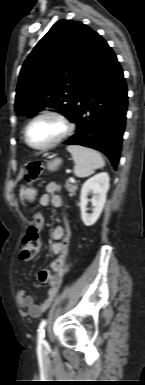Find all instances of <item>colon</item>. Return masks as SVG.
<instances>
[{
	"mask_svg": "<svg viewBox=\"0 0 145 385\" xmlns=\"http://www.w3.org/2000/svg\"><path fill=\"white\" fill-rule=\"evenodd\" d=\"M41 172V164L39 162H30L27 165L25 180L33 181L35 180ZM43 225V216L40 213L34 215V224L31 225L22 240V248L20 251V258L24 261L32 260L39 249L40 243V229ZM66 257L62 258L55 264V269L60 270L65 262Z\"/></svg>",
	"mask_w": 145,
	"mask_h": 385,
	"instance_id": "colon-1",
	"label": "colon"
}]
</instances>
